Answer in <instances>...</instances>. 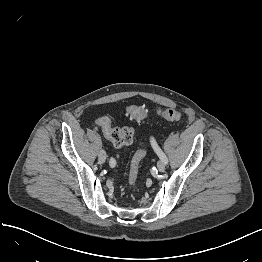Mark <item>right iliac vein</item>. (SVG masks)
<instances>
[{"label": "right iliac vein", "instance_id": "obj_1", "mask_svg": "<svg viewBox=\"0 0 262 262\" xmlns=\"http://www.w3.org/2000/svg\"><path fill=\"white\" fill-rule=\"evenodd\" d=\"M107 155L104 150H101L98 154V160L100 163H104L106 161Z\"/></svg>", "mask_w": 262, "mask_h": 262}]
</instances>
